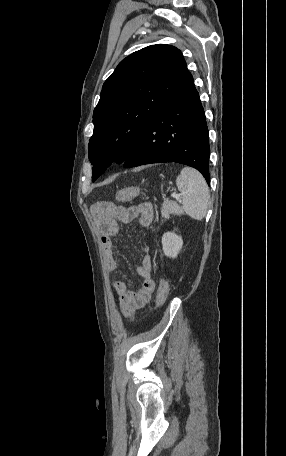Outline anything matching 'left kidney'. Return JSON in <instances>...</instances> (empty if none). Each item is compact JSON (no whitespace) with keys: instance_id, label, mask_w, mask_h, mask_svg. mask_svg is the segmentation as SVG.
<instances>
[{"instance_id":"left-kidney-1","label":"left kidney","mask_w":286,"mask_h":456,"mask_svg":"<svg viewBox=\"0 0 286 456\" xmlns=\"http://www.w3.org/2000/svg\"><path fill=\"white\" fill-rule=\"evenodd\" d=\"M162 246L163 252L167 257L175 258L182 249V237L173 232H167L162 237Z\"/></svg>"}]
</instances>
